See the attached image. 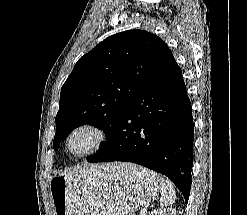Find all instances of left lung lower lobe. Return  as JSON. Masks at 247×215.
Here are the masks:
<instances>
[{
  "label": "left lung lower lobe",
  "mask_w": 247,
  "mask_h": 215,
  "mask_svg": "<svg viewBox=\"0 0 247 215\" xmlns=\"http://www.w3.org/2000/svg\"><path fill=\"white\" fill-rule=\"evenodd\" d=\"M194 126L182 72L169 50L88 162L125 161L166 175L188 202Z\"/></svg>",
  "instance_id": "1"
}]
</instances>
